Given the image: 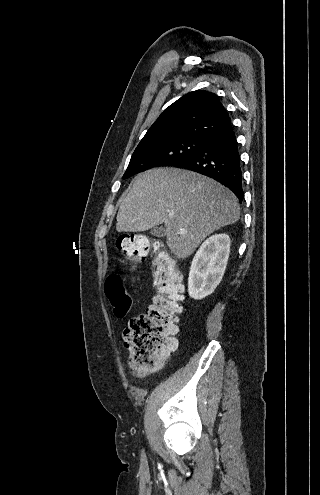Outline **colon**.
Returning <instances> with one entry per match:
<instances>
[{
    "label": "colon",
    "instance_id": "5ec220e1",
    "mask_svg": "<svg viewBox=\"0 0 320 495\" xmlns=\"http://www.w3.org/2000/svg\"><path fill=\"white\" fill-rule=\"evenodd\" d=\"M116 248L125 260L133 264L152 257L153 285L157 295L146 312L133 317L123 332L124 346L129 352V368L135 375L144 376L160 369L177 348V315L182 311L181 275L163 245L147 235H122L116 240ZM104 290L116 316L125 317L132 300L121 277L109 275Z\"/></svg>",
    "mask_w": 320,
    "mask_h": 495
}]
</instances>
